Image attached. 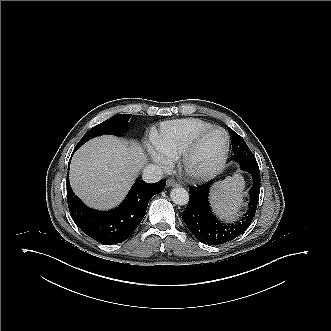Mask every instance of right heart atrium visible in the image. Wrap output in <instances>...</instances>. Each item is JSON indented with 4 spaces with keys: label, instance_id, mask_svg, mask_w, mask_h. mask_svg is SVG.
Segmentation results:
<instances>
[{
    "label": "right heart atrium",
    "instance_id": "1",
    "mask_svg": "<svg viewBox=\"0 0 331 331\" xmlns=\"http://www.w3.org/2000/svg\"><path fill=\"white\" fill-rule=\"evenodd\" d=\"M148 152L151 159L158 165L168 168L171 165V159L162 150L155 145H148Z\"/></svg>",
    "mask_w": 331,
    "mask_h": 331
}]
</instances>
